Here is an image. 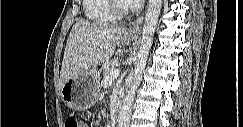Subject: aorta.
<instances>
[{"mask_svg": "<svg viewBox=\"0 0 243 127\" xmlns=\"http://www.w3.org/2000/svg\"><path fill=\"white\" fill-rule=\"evenodd\" d=\"M161 7L162 0H149L142 29L141 45L135 66V74L132 79L130 90L123 100V105L119 113V127H129L135 92L141 83L142 75L146 67Z\"/></svg>", "mask_w": 243, "mask_h": 127, "instance_id": "aorta-1", "label": "aorta"}]
</instances>
